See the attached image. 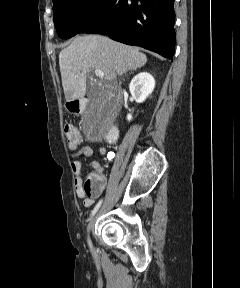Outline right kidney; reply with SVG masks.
Instances as JSON below:
<instances>
[{"label": "right kidney", "instance_id": "ca27d5eb", "mask_svg": "<svg viewBox=\"0 0 240 288\" xmlns=\"http://www.w3.org/2000/svg\"><path fill=\"white\" fill-rule=\"evenodd\" d=\"M155 87L153 76L147 72L137 74L130 82L129 90L135 101L142 103L152 93ZM128 121L132 119L130 114L127 115Z\"/></svg>", "mask_w": 240, "mask_h": 288}]
</instances>
